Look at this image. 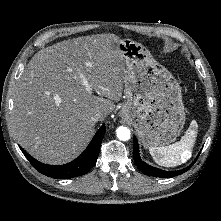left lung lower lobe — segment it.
Wrapping results in <instances>:
<instances>
[{"mask_svg": "<svg viewBox=\"0 0 221 221\" xmlns=\"http://www.w3.org/2000/svg\"><path fill=\"white\" fill-rule=\"evenodd\" d=\"M133 151H134L133 155H134L135 164L140 169V171L148 176H155V177H160V178L172 177V176H176V175L186 172L187 170H189L192 167V165L194 164V162L197 159L196 158L195 161L190 166H188L187 168H184L183 170L164 171V170H160L158 168L152 167L141 160L140 155H139L138 142L135 137H134V150Z\"/></svg>", "mask_w": 221, "mask_h": 221, "instance_id": "0a47b994", "label": "left lung lower lobe"}]
</instances>
